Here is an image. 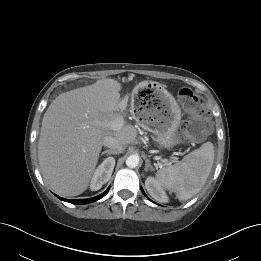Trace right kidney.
<instances>
[{"label":"right kidney","instance_id":"ca27d5eb","mask_svg":"<svg viewBox=\"0 0 261 261\" xmlns=\"http://www.w3.org/2000/svg\"><path fill=\"white\" fill-rule=\"evenodd\" d=\"M114 166L115 159L113 157H108L97 167L90 184V189L92 191L99 190L103 184L109 181Z\"/></svg>","mask_w":261,"mask_h":261}]
</instances>
